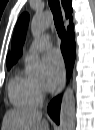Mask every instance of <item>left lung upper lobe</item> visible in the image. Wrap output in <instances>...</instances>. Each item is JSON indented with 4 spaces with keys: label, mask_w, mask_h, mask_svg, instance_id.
Returning <instances> with one entry per match:
<instances>
[{
    "label": "left lung upper lobe",
    "mask_w": 95,
    "mask_h": 130,
    "mask_svg": "<svg viewBox=\"0 0 95 130\" xmlns=\"http://www.w3.org/2000/svg\"><path fill=\"white\" fill-rule=\"evenodd\" d=\"M28 21H29L28 14L24 13L20 16V18L17 22L15 32L13 35V40H12V52L14 55L13 63L17 60V58L21 54L22 46L24 44L25 37H26Z\"/></svg>",
    "instance_id": "5c2ea615"
}]
</instances>
